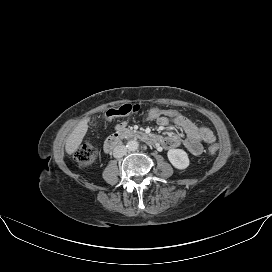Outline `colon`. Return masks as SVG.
Segmentation results:
<instances>
[{
    "label": "colon",
    "instance_id": "1",
    "mask_svg": "<svg viewBox=\"0 0 272 272\" xmlns=\"http://www.w3.org/2000/svg\"><path fill=\"white\" fill-rule=\"evenodd\" d=\"M141 111L140 105L123 104L118 107L108 109L104 113V118L109 120L116 117L128 116L137 114ZM144 118L148 120H158L160 118L174 119L183 116L179 111L169 108H152L143 113ZM210 154H215L218 151V145L212 144L209 146ZM98 158V150L89 142L83 143L74 153V159L81 167H89Z\"/></svg>",
    "mask_w": 272,
    "mask_h": 272
}]
</instances>
